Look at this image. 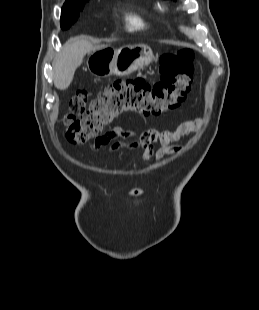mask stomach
<instances>
[{
  "mask_svg": "<svg viewBox=\"0 0 259 310\" xmlns=\"http://www.w3.org/2000/svg\"><path fill=\"white\" fill-rule=\"evenodd\" d=\"M153 59L151 48L144 44L126 45L120 49L103 46L90 52L87 67L98 77L125 76L148 66Z\"/></svg>",
  "mask_w": 259,
  "mask_h": 310,
  "instance_id": "1",
  "label": "stomach"
}]
</instances>
